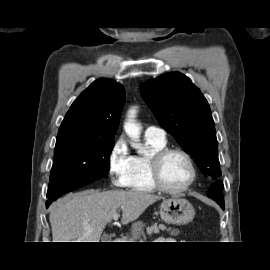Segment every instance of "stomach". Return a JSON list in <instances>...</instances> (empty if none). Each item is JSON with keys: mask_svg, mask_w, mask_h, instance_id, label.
Here are the masks:
<instances>
[{"mask_svg": "<svg viewBox=\"0 0 270 270\" xmlns=\"http://www.w3.org/2000/svg\"><path fill=\"white\" fill-rule=\"evenodd\" d=\"M195 210L191 203L184 198L173 196L162 201L160 216L166 223L174 225H186L194 218ZM144 224L141 221L132 225V239H137L143 231Z\"/></svg>", "mask_w": 270, "mask_h": 270, "instance_id": "stomach-1", "label": "stomach"}]
</instances>
